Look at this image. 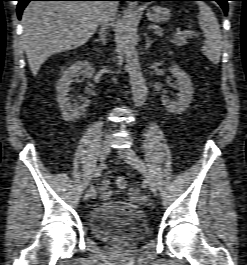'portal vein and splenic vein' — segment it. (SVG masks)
<instances>
[{"label":"portal vein and splenic vein","instance_id":"1","mask_svg":"<svg viewBox=\"0 0 247 265\" xmlns=\"http://www.w3.org/2000/svg\"><path fill=\"white\" fill-rule=\"evenodd\" d=\"M190 34H192L193 36H198V34H196V33H193V32H192V33H190Z\"/></svg>","mask_w":247,"mask_h":265}]
</instances>
